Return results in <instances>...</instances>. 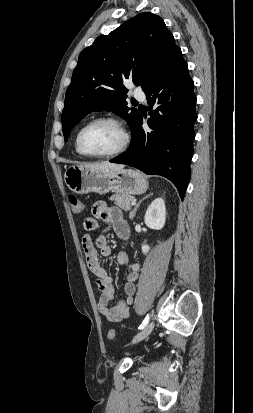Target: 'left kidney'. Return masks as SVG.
Listing matches in <instances>:
<instances>
[{
  "label": "left kidney",
  "instance_id": "left-kidney-1",
  "mask_svg": "<svg viewBox=\"0 0 253 413\" xmlns=\"http://www.w3.org/2000/svg\"><path fill=\"white\" fill-rule=\"evenodd\" d=\"M144 221L151 229L160 230L164 227L166 221V208L162 198H156L151 202L145 213ZM149 249V245H142V252L144 254L148 253Z\"/></svg>",
  "mask_w": 253,
  "mask_h": 413
}]
</instances>
